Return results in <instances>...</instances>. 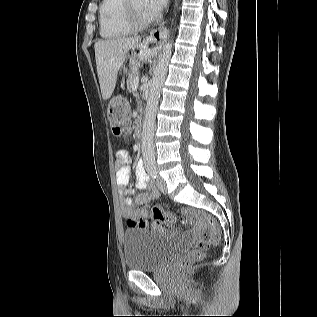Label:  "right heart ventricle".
Instances as JSON below:
<instances>
[{
	"instance_id": "obj_1",
	"label": "right heart ventricle",
	"mask_w": 317,
	"mask_h": 317,
	"mask_svg": "<svg viewBox=\"0 0 317 317\" xmlns=\"http://www.w3.org/2000/svg\"><path fill=\"white\" fill-rule=\"evenodd\" d=\"M123 3L124 0H102L99 10V30L102 38L118 39L133 31L125 21Z\"/></svg>"
}]
</instances>
